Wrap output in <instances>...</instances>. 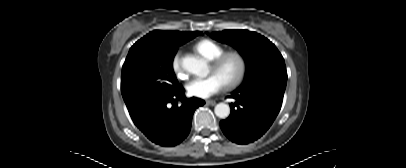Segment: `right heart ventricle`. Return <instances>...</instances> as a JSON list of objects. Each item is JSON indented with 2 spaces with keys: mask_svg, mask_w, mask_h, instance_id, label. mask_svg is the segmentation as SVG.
Returning a JSON list of instances; mask_svg holds the SVG:
<instances>
[{
  "mask_svg": "<svg viewBox=\"0 0 406 168\" xmlns=\"http://www.w3.org/2000/svg\"><path fill=\"white\" fill-rule=\"evenodd\" d=\"M195 49L207 60L212 61L224 52V47L212 40L203 39L195 44Z\"/></svg>",
  "mask_w": 406,
  "mask_h": 168,
  "instance_id": "e07e8e85",
  "label": "right heart ventricle"
}]
</instances>
